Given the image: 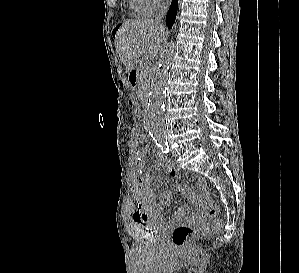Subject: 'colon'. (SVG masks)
Returning a JSON list of instances; mask_svg holds the SVG:
<instances>
[{
    "instance_id": "1",
    "label": "colon",
    "mask_w": 299,
    "mask_h": 273,
    "mask_svg": "<svg viewBox=\"0 0 299 273\" xmlns=\"http://www.w3.org/2000/svg\"><path fill=\"white\" fill-rule=\"evenodd\" d=\"M140 142L143 144L142 148L149 149V137L146 134L141 135ZM202 191L205 190V184L202 180L199 181ZM219 213L217 204L210 203L208 214L210 218L214 219ZM218 227V222L211 220L207 223L198 225L180 224L177 225L171 234L172 242L178 247H184L191 242L193 238L200 235H205L212 232Z\"/></svg>"
}]
</instances>
